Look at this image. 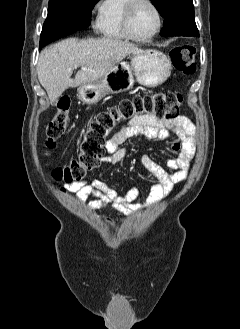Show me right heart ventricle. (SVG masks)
I'll return each mask as SVG.
<instances>
[{
    "instance_id": "1",
    "label": "right heart ventricle",
    "mask_w": 240,
    "mask_h": 329,
    "mask_svg": "<svg viewBox=\"0 0 240 329\" xmlns=\"http://www.w3.org/2000/svg\"><path fill=\"white\" fill-rule=\"evenodd\" d=\"M130 0H102L98 5L96 30L105 38L127 41L130 38L123 29V16Z\"/></svg>"
}]
</instances>
